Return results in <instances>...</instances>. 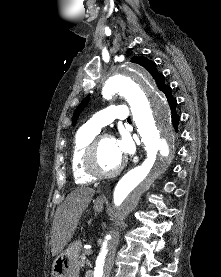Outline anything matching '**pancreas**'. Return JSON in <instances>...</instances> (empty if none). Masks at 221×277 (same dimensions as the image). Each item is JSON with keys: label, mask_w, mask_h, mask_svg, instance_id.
<instances>
[{"label": "pancreas", "mask_w": 221, "mask_h": 277, "mask_svg": "<svg viewBox=\"0 0 221 277\" xmlns=\"http://www.w3.org/2000/svg\"><path fill=\"white\" fill-rule=\"evenodd\" d=\"M90 254H92V252L90 250H83L82 251V255H81V266H84L85 264H88L89 261L86 259V256H89Z\"/></svg>", "instance_id": "pancreas-1"}]
</instances>
